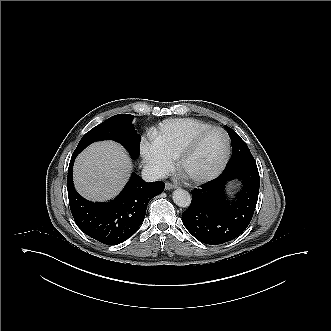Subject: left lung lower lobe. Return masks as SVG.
<instances>
[{
	"label": "left lung lower lobe",
	"mask_w": 331,
	"mask_h": 331,
	"mask_svg": "<svg viewBox=\"0 0 331 331\" xmlns=\"http://www.w3.org/2000/svg\"><path fill=\"white\" fill-rule=\"evenodd\" d=\"M239 179L243 188L231 203L226 200L225 184ZM260 178L258 169H225L192 192L189 208L182 213L187 230L199 241L218 245L241 235L249 225L256 207Z\"/></svg>",
	"instance_id": "0a47b994"
}]
</instances>
